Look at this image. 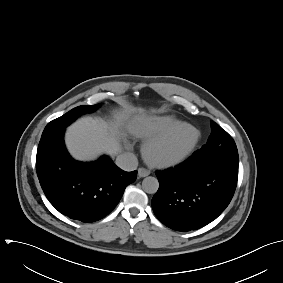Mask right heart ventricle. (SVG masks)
I'll list each match as a JSON object with an SVG mask.
<instances>
[{
    "label": "right heart ventricle",
    "instance_id": "right-heart-ventricle-1",
    "mask_svg": "<svg viewBox=\"0 0 283 283\" xmlns=\"http://www.w3.org/2000/svg\"><path fill=\"white\" fill-rule=\"evenodd\" d=\"M182 123L183 122L173 116L152 118L141 127L138 135L142 138L152 140L164 135Z\"/></svg>",
    "mask_w": 283,
    "mask_h": 283
}]
</instances>
